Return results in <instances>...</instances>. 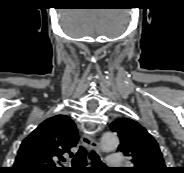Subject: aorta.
I'll use <instances>...</instances> for the list:
<instances>
[{"label":"aorta","mask_w":184,"mask_h":173,"mask_svg":"<svg viewBox=\"0 0 184 173\" xmlns=\"http://www.w3.org/2000/svg\"><path fill=\"white\" fill-rule=\"evenodd\" d=\"M119 139L115 133L106 132L101 138L100 148L103 152H109L117 148Z\"/></svg>","instance_id":"1"}]
</instances>
